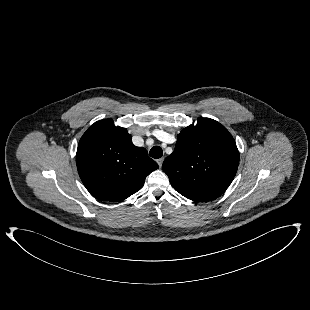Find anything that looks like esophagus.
Instances as JSON below:
<instances>
[{
  "instance_id": "1",
  "label": "esophagus",
  "mask_w": 310,
  "mask_h": 310,
  "mask_svg": "<svg viewBox=\"0 0 310 310\" xmlns=\"http://www.w3.org/2000/svg\"><path fill=\"white\" fill-rule=\"evenodd\" d=\"M164 158H160L157 160L159 167L161 168Z\"/></svg>"
}]
</instances>
